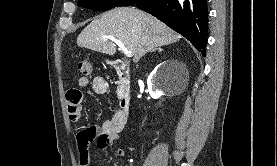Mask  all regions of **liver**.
I'll return each instance as SVG.
<instances>
[{"label": "liver", "mask_w": 277, "mask_h": 166, "mask_svg": "<svg viewBox=\"0 0 277 166\" xmlns=\"http://www.w3.org/2000/svg\"><path fill=\"white\" fill-rule=\"evenodd\" d=\"M104 36L120 40L132 51L134 63L147 52L181 38L157 18L135 7H117L102 14L79 34L77 45L108 55L115 54V44Z\"/></svg>", "instance_id": "6515ba94"}]
</instances>
